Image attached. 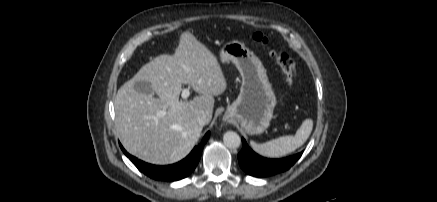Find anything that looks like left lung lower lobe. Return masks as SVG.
<instances>
[{
	"mask_svg": "<svg viewBox=\"0 0 437 202\" xmlns=\"http://www.w3.org/2000/svg\"><path fill=\"white\" fill-rule=\"evenodd\" d=\"M243 147L238 154V161L241 168L254 177H266L291 168L301 157L303 152L282 159H268L256 154L242 138Z\"/></svg>",
	"mask_w": 437,
	"mask_h": 202,
	"instance_id": "obj_1",
	"label": "left lung lower lobe"
}]
</instances>
